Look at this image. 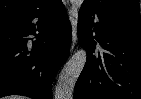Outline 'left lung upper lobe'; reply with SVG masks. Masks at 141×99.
I'll return each instance as SVG.
<instances>
[{"instance_id":"obj_1","label":"left lung upper lobe","mask_w":141,"mask_h":99,"mask_svg":"<svg viewBox=\"0 0 141 99\" xmlns=\"http://www.w3.org/2000/svg\"><path fill=\"white\" fill-rule=\"evenodd\" d=\"M83 4L113 18L140 20L138 0H85Z\"/></svg>"}]
</instances>
